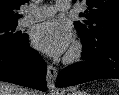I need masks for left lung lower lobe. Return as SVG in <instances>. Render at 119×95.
I'll list each match as a JSON object with an SVG mask.
<instances>
[{
    "label": "left lung lower lobe",
    "instance_id": "1",
    "mask_svg": "<svg viewBox=\"0 0 119 95\" xmlns=\"http://www.w3.org/2000/svg\"><path fill=\"white\" fill-rule=\"evenodd\" d=\"M82 62L62 70L56 81L57 87L103 79L119 78V40L96 41L83 45Z\"/></svg>",
    "mask_w": 119,
    "mask_h": 95
}]
</instances>
